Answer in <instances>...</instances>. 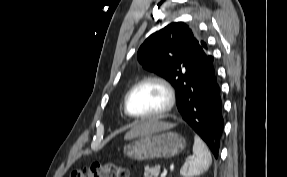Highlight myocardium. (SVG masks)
Instances as JSON below:
<instances>
[{"instance_id":"myocardium-1","label":"myocardium","mask_w":287,"mask_h":177,"mask_svg":"<svg viewBox=\"0 0 287 177\" xmlns=\"http://www.w3.org/2000/svg\"><path fill=\"white\" fill-rule=\"evenodd\" d=\"M149 83L156 84L164 90V93L166 96L165 105L159 111L152 113V114H147V115H134V114H132L130 109H129V100H130L132 93L138 87H140L144 84H149ZM175 104H176V93H175L172 85L166 79H164L162 77L149 76V77H145V78L141 79L140 81L135 83L129 89V91L127 92L125 99H124V110H125V113L133 119L147 120V119L158 118V117H161V116L167 114L169 111L172 110V108L175 106Z\"/></svg>"}]
</instances>
